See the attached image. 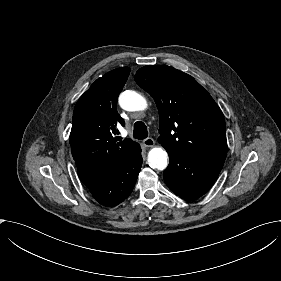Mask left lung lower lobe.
Segmentation results:
<instances>
[{"instance_id": "obj_1", "label": "left lung lower lobe", "mask_w": 281, "mask_h": 281, "mask_svg": "<svg viewBox=\"0 0 281 281\" xmlns=\"http://www.w3.org/2000/svg\"><path fill=\"white\" fill-rule=\"evenodd\" d=\"M167 152L170 163L163 173L164 180L171 191L186 200L205 194L224 164L220 159L189 158L171 150Z\"/></svg>"}]
</instances>
